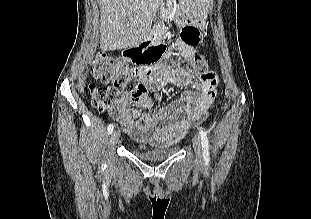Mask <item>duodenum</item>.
<instances>
[{"instance_id":"obj_1","label":"duodenum","mask_w":311,"mask_h":219,"mask_svg":"<svg viewBox=\"0 0 311 219\" xmlns=\"http://www.w3.org/2000/svg\"><path fill=\"white\" fill-rule=\"evenodd\" d=\"M159 48H163V45L159 41V33L157 31H152L141 45L130 51L136 54H142L144 51L150 53Z\"/></svg>"}]
</instances>
